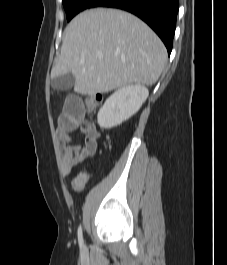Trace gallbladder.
I'll list each match as a JSON object with an SVG mask.
<instances>
[{"label":"gallbladder","instance_id":"1","mask_svg":"<svg viewBox=\"0 0 227 265\" xmlns=\"http://www.w3.org/2000/svg\"><path fill=\"white\" fill-rule=\"evenodd\" d=\"M75 83V78L71 72L57 76L52 80V87L57 90L70 89Z\"/></svg>","mask_w":227,"mask_h":265}]
</instances>
